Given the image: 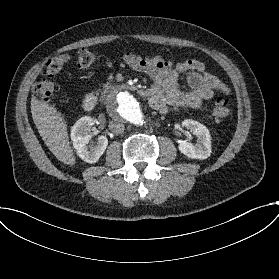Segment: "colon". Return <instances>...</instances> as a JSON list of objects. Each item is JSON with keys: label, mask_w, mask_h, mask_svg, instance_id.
Returning a JSON list of instances; mask_svg holds the SVG:
<instances>
[{"label": "colon", "mask_w": 279, "mask_h": 279, "mask_svg": "<svg viewBox=\"0 0 279 279\" xmlns=\"http://www.w3.org/2000/svg\"><path fill=\"white\" fill-rule=\"evenodd\" d=\"M76 58L77 67L84 69L96 61L97 55L89 49L82 48L77 51ZM68 59L69 57L66 53H60L48 60L44 69L47 79L42 80L33 88V96L36 99L42 101L50 100L56 87L55 82L51 78L57 76L63 70ZM230 111L231 109L227 101L217 100L212 104L209 112L213 119L222 120L229 116Z\"/></svg>", "instance_id": "colon-1"}]
</instances>
